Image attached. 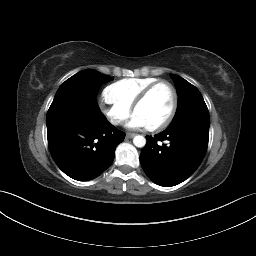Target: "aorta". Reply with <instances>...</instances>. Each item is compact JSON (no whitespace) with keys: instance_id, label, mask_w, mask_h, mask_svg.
<instances>
[{"instance_id":"obj_1","label":"aorta","mask_w":256,"mask_h":256,"mask_svg":"<svg viewBox=\"0 0 256 256\" xmlns=\"http://www.w3.org/2000/svg\"><path fill=\"white\" fill-rule=\"evenodd\" d=\"M133 144L136 146V147H139V148H142L145 146L146 144V139L145 137L141 136V135H137L133 138Z\"/></svg>"}]
</instances>
